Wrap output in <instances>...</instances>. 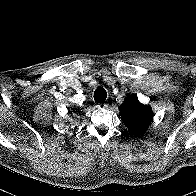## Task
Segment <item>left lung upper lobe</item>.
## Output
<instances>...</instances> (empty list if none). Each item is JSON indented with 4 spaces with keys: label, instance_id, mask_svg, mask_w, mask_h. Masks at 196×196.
<instances>
[{
    "label": "left lung upper lobe",
    "instance_id": "obj_1",
    "mask_svg": "<svg viewBox=\"0 0 196 196\" xmlns=\"http://www.w3.org/2000/svg\"><path fill=\"white\" fill-rule=\"evenodd\" d=\"M122 121L134 134L141 135L153 118L152 109L139 102L137 97L129 96L120 106Z\"/></svg>",
    "mask_w": 196,
    "mask_h": 196
}]
</instances>
